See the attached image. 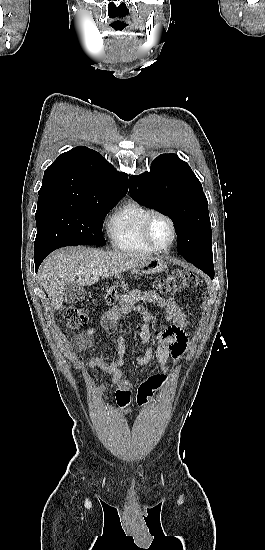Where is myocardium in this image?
<instances>
[{
    "mask_svg": "<svg viewBox=\"0 0 265 550\" xmlns=\"http://www.w3.org/2000/svg\"><path fill=\"white\" fill-rule=\"evenodd\" d=\"M156 217H160V218H163L164 220H166L168 222L170 228H171L172 239H171L170 244L165 246V247L158 246L154 242V240L152 239V236H151V233H150L151 223ZM142 234H143V237H144L145 241L147 242V244L155 251H167V250L171 249L173 247V245L175 244L176 239H177V229H176V225H175V222L173 221V219L169 215H167V214H165L161 211H157V210L151 211L145 217V219L143 221V224H142Z\"/></svg>",
    "mask_w": 265,
    "mask_h": 550,
    "instance_id": "1",
    "label": "myocardium"
}]
</instances>
